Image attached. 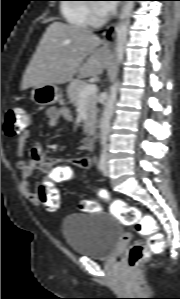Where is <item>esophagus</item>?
<instances>
[{"label":"esophagus","mask_w":180,"mask_h":299,"mask_svg":"<svg viewBox=\"0 0 180 299\" xmlns=\"http://www.w3.org/2000/svg\"><path fill=\"white\" fill-rule=\"evenodd\" d=\"M119 19V16L117 17V20L113 22L107 29L104 35V44L108 48H112L114 46V39H115V31L117 27V21Z\"/></svg>","instance_id":"esophagus-1"}]
</instances>
